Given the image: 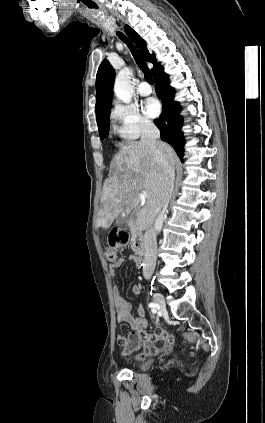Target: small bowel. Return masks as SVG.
<instances>
[{"mask_svg": "<svg viewBox=\"0 0 265 423\" xmlns=\"http://www.w3.org/2000/svg\"><path fill=\"white\" fill-rule=\"evenodd\" d=\"M137 267H141L142 261L131 256L129 258ZM126 260L124 258H118L109 264V272L113 276L115 270L120 268ZM132 293L135 296L140 295V287L134 285L132 287ZM113 301L117 313V321L119 323L125 322L130 325L132 332L128 336H120L118 343L123 347L125 354H131L137 351L141 346L147 355H157L160 353H168L174 344V338L162 329H157L153 333L146 331L148 322L145 317V310L141 303L136 305V314H132L133 306L124 297L121 296L118 288H113Z\"/></svg>", "mask_w": 265, "mask_h": 423, "instance_id": "c3829d8e", "label": "small bowel"}]
</instances>
